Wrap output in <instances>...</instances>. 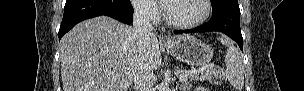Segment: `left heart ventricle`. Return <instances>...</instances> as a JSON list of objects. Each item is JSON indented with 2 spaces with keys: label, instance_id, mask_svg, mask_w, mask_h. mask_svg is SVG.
<instances>
[{
  "label": "left heart ventricle",
  "instance_id": "b2bd125f",
  "mask_svg": "<svg viewBox=\"0 0 304 91\" xmlns=\"http://www.w3.org/2000/svg\"><path fill=\"white\" fill-rule=\"evenodd\" d=\"M167 9L170 18L181 23L193 22L203 14V5L200 0L170 1Z\"/></svg>",
  "mask_w": 304,
  "mask_h": 91
}]
</instances>
